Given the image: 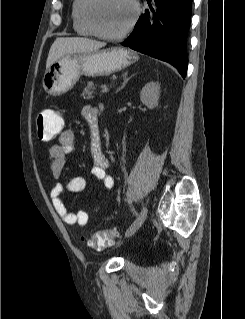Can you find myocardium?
Returning a JSON list of instances; mask_svg holds the SVG:
<instances>
[{"label":"myocardium","mask_w":245,"mask_h":319,"mask_svg":"<svg viewBox=\"0 0 245 319\" xmlns=\"http://www.w3.org/2000/svg\"><path fill=\"white\" fill-rule=\"evenodd\" d=\"M100 0H88L85 6V15L88 24L95 35L108 40H118L125 37L135 26L140 16V6L137 0H129L133 7V16L127 26L118 33H108L102 30L96 19V8Z\"/></svg>","instance_id":"myocardium-1"}]
</instances>
